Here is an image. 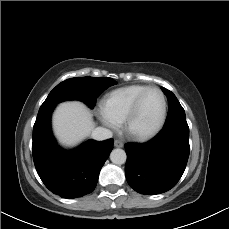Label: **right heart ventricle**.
Returning <instances> with one entry per match:
<instances>
[{
    "mask_svg": "<svg viewBox=\"0 0 229 229\" xmlns=\"http://www.w3.org/2000/svg\"><path fill=\"white\" fill-rule=\"evenodd\" d=\"M146 85H129L108 93L103 100L102 108L113 120L124 121L135 98L148 89Z\"/></svg>",
    "mask_w": 229,
    "mask_h": 229,
    "instance_id": "e07e8e85",
    "label": "right heart ventricle"
}]
</instances>
